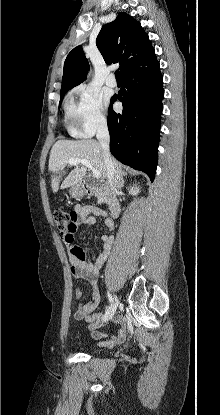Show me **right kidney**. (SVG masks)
<instances>
[{"label":"right kidney","mask_w":220,"mask_h":415,"mask_svg":"<svg viewBox=\"0 0 220 415\" xmlns=\"http://www.w3.org/2000/svg\"><path fill=\"white\" fill-rule=\"evenodd\" d=\"M129 193L132 194V195H137L139 193V188L132 187V188H130Z\"/></svg>","instance_id":"right-kidney-1"}]
</instances>
